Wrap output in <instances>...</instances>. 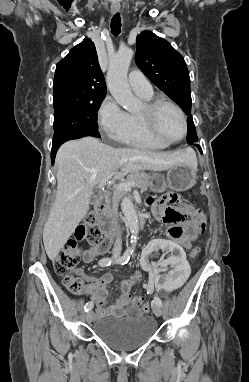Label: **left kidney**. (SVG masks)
Here are the masks:
<instances>
[{
    "mask_svg": "<svg viewBox=\"0 0 249 382\" xmlns=\"http://www.w3.org/2000/svg\"><path fill=\"white\" fill-rule=\"evenodd\" d=\"M142 251L144 254L140 255L137 265L142 267L143 273H151L149 282L153 287H159L157 298H162L163 293H170L172 289L184 287L191 269L182 245H176L175 240L153 237L149 245L142 246ZM153 257H166V260L151 262Z\"/></svg>",
    "mask_w": 249,
    "mask_h": 382,
    "instance_id": "obj_1",
    "label": "left kidney"
}]
</instances>
